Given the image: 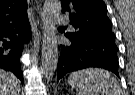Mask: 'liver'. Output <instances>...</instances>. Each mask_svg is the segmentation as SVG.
Segmentation results:
<instances>
[{"instance_id": "6515ba94", "label": "liver", "mask_w": 135, "mask_h": 95, "mask_svg": "<svg viewBox=\"0 0 135 95\" xmlns=\"http://www.w3.org/2000/svg\"><path fill=\"white\" fill-rule=\"evenodd\" d=\"M20 81L11 72L0 69V95H19Z\"/></svg>"}]
</instances>
